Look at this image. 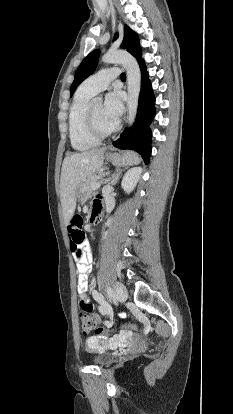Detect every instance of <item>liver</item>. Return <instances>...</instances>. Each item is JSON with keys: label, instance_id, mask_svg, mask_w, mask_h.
<instances>
[{"label": "liver", "instance_id": "obj_1", "mask_svg": "<svg viewBox=\"0 0 233 414\" xmlns=\"http://www.w3.org/2000/svg\"><path fill=\"white\" fill-rule=\"evenodd\" d=\"M105 151L106 148H94L64 159L60 177V199L65 224L70 222L74 214L78 186L102 167Z\"/></svg>", "mask_w": 233, "mask_h": 414}]
</instances>
